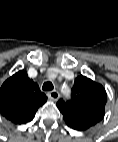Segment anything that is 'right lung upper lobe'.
Listing matches in <instances>:
<instances>
[{"label":"right lung upper lobe","instance_id":"cb5924a9","mask_svg":"<svg viewBox=\"0 0 118 142\" xmlns=\"http://www.w3.org/2000/svg\"><path fill=\"white\" fill-rule=\"evenodd\" d=\"M46 101L47 96L24 70L12 75L0 88V112L14 124L30 122Z\"/></svg>","mask_w":118,"mask_h":142}]
</instances>
